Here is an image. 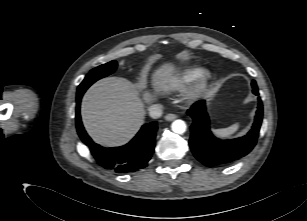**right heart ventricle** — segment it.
Returning <instances> with one entry per match:
<instances>
[{
    "label": "right heart ventricle",
    "instance_id": "right-heart-ventricle-1",
    "mask_svg": "<svg viewBox=\"0 0 307 221\" xmlns=\"http://www.w3.org/2000/svg\"><path fill=\"white\" fill-rule=\"evenodd\" d=\"M199 66H186L168 75L162 81V87L167 91H174L196 81L203 73Z\"/></svg>",
    "mask_w": 307,
    "mask_h": 221
}]
</instances>
